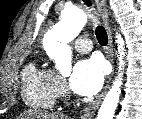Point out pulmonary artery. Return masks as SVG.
I'll return each instance as SVG.
<instances>
[{
	"label": "pulmonary artery",
	"mask_w": 142,
	"mask_h": 119,
	"mask_svg": "<svg viewBox=\"0 0 142 119\" xmlns=\"http://www.w3.org/2000/svg\"><path fill=\"white\" fill-rule=\"evenodd\" d=\"M74 48L79 53H87L93 48L92 41L87 37H79L74 42Z\"/></svg>",
	"instance_id": "e3ab8cb5"
}]
</instances>
